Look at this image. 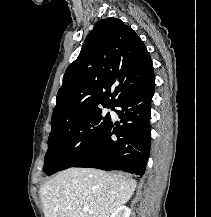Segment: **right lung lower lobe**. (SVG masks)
<instances>
[{"instance_id": "right-lung-lower-lobe-1", "label": "right lung lower lobe", "mask_w": 211, "mask_h": 217, "mask_svg": "<svg viewBox=\"0 0 211 217\" xmlns=\"http://www.w3.org/2000/svg\"><path fill=\"white\" fill-rule=\"evenodd\" d=\"M155 75L132 84L114 107L122 125L111 122L101 142L71 167L123 170L142 176L150 151V101L154 94ZM115 134L116 139L111 136Z\"/></svg>"}]
</instances>
